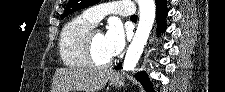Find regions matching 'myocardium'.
<instances>
[{
  "label": "myocardium",
  "instance_id": "obj_1",
  "mask_svg": "<svg viewBox=\"0 0 225 92\" xmlns=\"http://www.w3.org/2000/svg\"><path fill=\"white\" fill-rule=\"evenodd\" d=\"M96 32H100L98 29H90L84 39V53L88 64L94 68H108L112 64V60L106 62H99L93 52V36Z\"/></svg>",
  "mask_w": 225,
  "mask_h": 92
}]
</instances>
